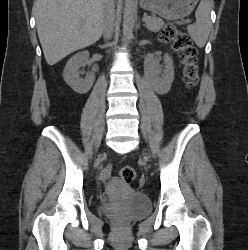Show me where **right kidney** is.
Returning <instances> with one entry per match:
<instances>
[{"label":"right kidney","mask_w":248,"mask_h":250,"mask_svg":"<svg viewBox=\"0 0 248 250\" xmlns=\"http://www.w3.org/2000/svg\"><path fill=\"white\" fill-rule=\"evenodd\" d=\"M89 52L82 51L72 56L66 63L63 71L64 81L78 94L87 93L94 84V71L90 72L85 79L79 75V69L88 61Z\"/></svg>","instance_id":"ca27d5eb"}]
</instances>
